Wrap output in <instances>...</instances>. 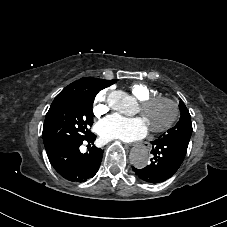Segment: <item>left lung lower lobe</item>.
Returning a JSON list of instances; mask_svg holds the SVG:
<instances>
[{"mask_svg": "<svg viewBox=\"0 0 227 227\" xmlns=\"http://www.w3.org/2000/svg\"><path fill=\"white\" fill-rule=\"evenodd\" d=\"M153 158L151 164L143 169L132 167L144 181L160 183L169 179L183 162L188 143L177 139L158 138L151 142Z\"/></svg>", "mask_w": 227, "mask_h": 227, "instance_id": "left-lung-lower-lobe-1", "label": "left lung lower lobe"}]
</instances>
